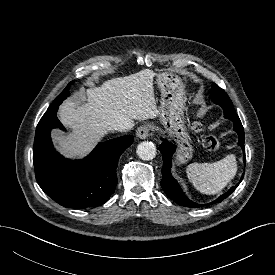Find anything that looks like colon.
Instances as JSON below:
<instances>
[{
	"label": "colon",
	"mask_w": 275,
	"mask_h": 275,
	"mask_svg": "<svg viewBox=\"0 0 275 275\" xmlns=\"http://www.w3.org/2000/svg\"><path fill=\"white\" fill-rule=\"evenodd\" d=\"M193 128L196 132L201 133V143L205 149L214 151L219 148L220 142L218 138L215 135L205 133L204 126L201 123H194Z\"/></svg>",
	"instance_id": "colon-1"
}]
</instances>
